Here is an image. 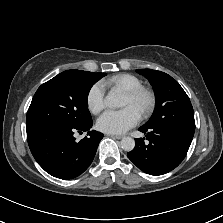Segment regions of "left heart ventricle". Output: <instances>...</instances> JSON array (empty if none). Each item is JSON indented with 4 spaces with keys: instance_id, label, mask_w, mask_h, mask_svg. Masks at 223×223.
I'll use <instances>...</instances> for the list:
<instances>
[{
    "instance_id": "1",
    "label": "left heart ventricle",
    "mask_w": 223,
    "mask_h": 223,
    "mask_svg": "<svg viewBox=\"0 0 223 223\" xmlns=\"http://www.w3.org/2000/svg\"><path fill=\"white\" fill-rule=\"evenodd\" d=\"M146 104V101L145 99H140V100H137V101H134V100H131L130 98H128L126 95L123 99V104L122 106H129V105H132L134 106L137 111L140 113L141 109L144 107V105Z\"/></svg>"
}]
</instances>
